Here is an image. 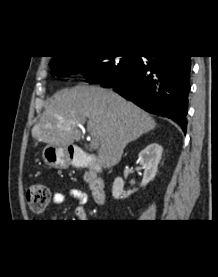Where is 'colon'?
Masks as SVG:
<instances>
[{
  "label": "colon",
  "instance_id": "5ec220e1",
  "mask_svg": "<svg viewBox=\"0 0 218 277\" xmlns=\"http://www.w3.org/2000/svg\"><path fill=\"white\" fill-rule=\"evenodd\" d=\"M50 189L43 184H33L26 191V200L31 211L41 213L47 207L50 200Z\"/></svg>",
  "mask_w": 218,
  "mask_h": 277
}]
</instances>
